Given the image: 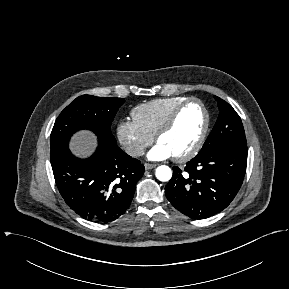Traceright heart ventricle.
Wrapping results in <instances>:
<instances>
[{
    "instance_id": "obj_1",
    "label": "right heart ventricle",
    "mask_w": 289,
    "mask_h": 289,
    "mask_svg": "<svg viewBox=\"0 0 289 289\" xmlns=\"http://www.w3.org/2000/svg\"><path fill=\"white\" fill-rule=\"evenodd\" d=\"M186 99L184 96L154 99L137 105L131 114L133 120L154 137L172 111Z\"/></svg>"
}]
</instances>
